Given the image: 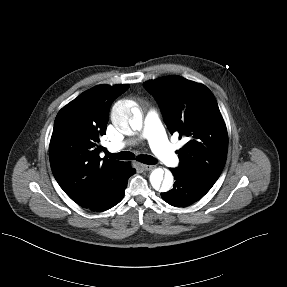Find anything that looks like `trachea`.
Instances as JSON below:
<instances>
[{"label":"trachea","instance_id":"trachea-1","mask_svg":"<svg viewBox=\"0 0 287 287\" xmlns=\"http://www.w3.org/2000/svg\"><path fill=\"white\" fill-rule=\"evenodd\" d=\"M108 157L118 159V160H135V155L132 152L128 151H122L116 154H112L110 152H106ZM136 160L148 164V165H153L156 163V159L152 157L151 155H139L136 157Z\"/></svg>","mask_w":287,"mask_h":287}]
</instances>
